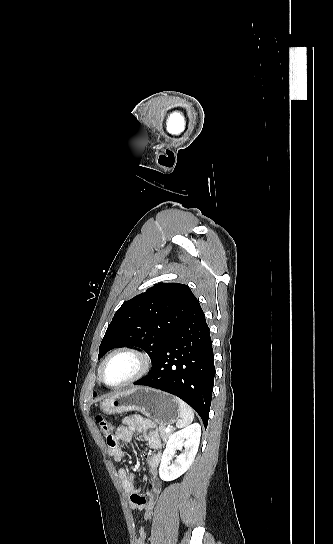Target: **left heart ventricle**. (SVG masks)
<instances>
[{"label": "left heart ventricle", "instance_id": "left-heart-ventricle-1", "mask_svg": "<svg viewBox=\"0 0 333 544\" xmlns=\"http://www.w3.org/2000/svg\"><path fill=\"white\" fill-rule=\"evenodd\" d=\"M138 369V360L129 354H119L111 358L103 372L104 380L115 385L131 377Z\"/></svg>", "mask_w": 333, "mask_h": 544}]
</instances>
